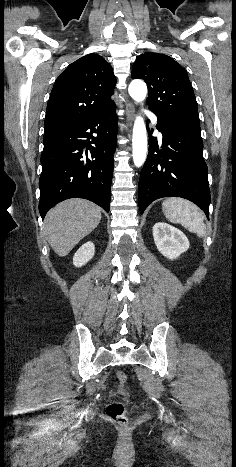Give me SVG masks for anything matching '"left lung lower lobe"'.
Here are the masks:
<instances>
[{
  "label": "left lung lower lobe",
  "mask_w": 236,
  "mask_h": 467,
  "mask_svg": "<svg viewBox=\"0 0 236 467\" xmlns=\"http://www.w3.org/2000/svg\"><path fill=\"white\" fill-rule=\"evenodd\" d=\"M157 118L156 127L163 140L159 146L156 137L149 139V152L138 184L141 214L154 200L176 196L194 202L209 219L210 189L199 119Z\"/></svg>",
  "instance_id": "left-lung-lower-lobe-1"
}]
</instances>
